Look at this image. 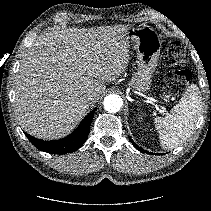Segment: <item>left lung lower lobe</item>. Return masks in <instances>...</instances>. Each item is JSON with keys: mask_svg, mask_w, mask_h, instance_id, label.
I'll return each instance as SVG.
<instances>
[{"mask_svg": "<svg viewBox=\"0 0 211 211\" xmlns=\"http://www.w3.org/2000/svg\"><path fill=\"white\" fill-rule=\"evenodd\" d=\"M130 139V138H129ZM130 141L132 142V144L138 149V150H140L141 152H145V153H149V152H147V151H144L142 148H140L139 146H137L131 139H130ZM150 154H153V153H150ZM155 154V153H154Z\"/></svg>", "mask_w": 211, "mask_h": 211, "instance_id": "0a47b994", "label": "left lung lower lobe"}]
</instances>
